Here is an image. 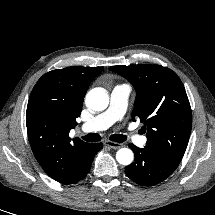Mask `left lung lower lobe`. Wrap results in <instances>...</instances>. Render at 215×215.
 Wrapping results in <instances>:
<instances>
[{
  "label": "left lung lower lobe",
  "instance_id": "0a47b994",
  "mask_svg": "<svg viewBox=\"0 0 215 215\" xmlns=\"http://www.w3.org/2000/svg\"><path fill=\"white\" fill-rule=\"evenodd\" d=\"M129 147L135 154V160L125 168V172L132 181L139 185L158 184L168 178L178 166L149 146L141 149L130 144Z\"/></svg>",
  "mask_w": 215,
  "mask_h": 215
}]
</instances>
